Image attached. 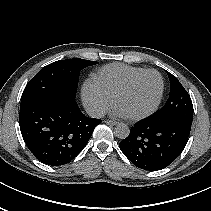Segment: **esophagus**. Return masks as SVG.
<instances>
[{
    "label": "esophagus",
    "mask_w": 211,
    "mask_h": 211,
    "mask_svg": "<svg viewBox=\"0 0 211 211\" xmlns=\"http://www.w3.org/2000/svg\"><path fill=\"white\" fill-rule=\"evenodd\" d=\"M105 123H106L107 125H110V126H115V125L118 124V122L113 121V120H106Z\"/></svg>",
    "instance_id": "34e87169"
}]
</instances>
